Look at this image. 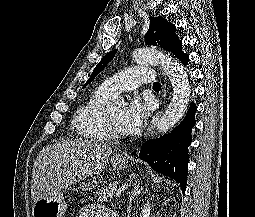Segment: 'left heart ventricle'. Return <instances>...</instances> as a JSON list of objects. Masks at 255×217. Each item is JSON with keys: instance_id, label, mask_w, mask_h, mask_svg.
<instances>
[{"instance_id": "obj_1", "label": "left heart ventricle", "mask_w": 255, "mask_h": 217, "mask_svg": "<svg viewBox=\"0 0 255 217\" xmlns=\"http://www.w3.org/2000/svg\"><path fill=\"white\" fill-rule=\"evenodd\" d=\"M124 112H125L124 108H116V109L109 110L110 116L112 118V121L116 129L120 131L121 133H123L121 129V121H122Z\"/></svg>"}]
</instances>
